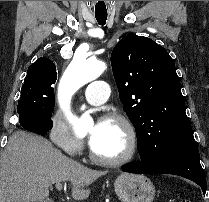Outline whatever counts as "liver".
Here are the masks:
<instances>
[{
  "label": "liver",
  "mask_w": 209,
  "mask_h": 202,
  "mask_svg": "<svg viewBox=\"0 0 209 202\" xmlns=\"http://www.w3.org/2000/svg\"><path fill=\"white\" fill-rule=\"evenodd\" d=\"M107 171L89 169L69 159L42 136L17 131L0 159V202H42L49 186L69 181L72 197H89V186Z\"/></svg>",
  "instance_id": "6515ba94"
}]
</instances>
